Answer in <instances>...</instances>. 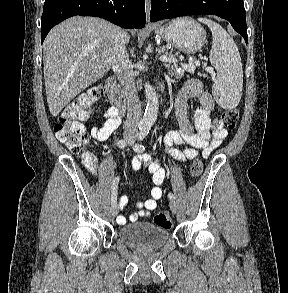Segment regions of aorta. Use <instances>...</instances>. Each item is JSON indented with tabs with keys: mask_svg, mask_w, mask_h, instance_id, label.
<instances>
[{
	"mask_svg": "<svg viewBox=\"0 0 288 293\" xmlns=\"http://www.w3.org/2000/svg\"><path fill=\"white\" fill-rule=\"evenodd\" d=\"M144 89L147 105L144 115L139 122V128L142 131H149L157 119L159 99L156 91L149 83H145Z\"/></svg>",
	"mask_w": 288,
	"mask_h": 293,
	"instance_id": "1",
	"label": "aorta"
}]
</instances>
